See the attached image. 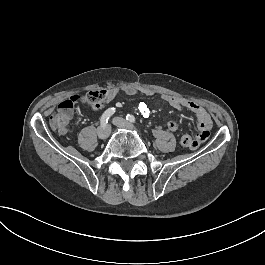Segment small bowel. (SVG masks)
Here are the masks:
<instances>
[{
	"mask_svg": "<svg viewBox=\"0 0 265 265\" xmlns=\"http://www.w3.org/2000/svg\"><path fill=\"white\" fill-rule=\"evenodd\" d=\"M154 94L155 92L152 89L140 86H113L107 91V102H111L118 95L153 96ZM162 100L176 110L188 111L195 115L197 125L195 139L197 141L192 142V147L198 150L201 147V142L210 136L212 121L209 113L199 103L187 98L164 94L162 95ZM167 128L170 132L175 133L178 130V124L174 120H169Z\"/></svg>",
	"mask_w": 265,
	"mask_h": 265,
	"instance_id": "1",
	"label": "small bowel"
}]
</instances>
